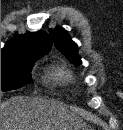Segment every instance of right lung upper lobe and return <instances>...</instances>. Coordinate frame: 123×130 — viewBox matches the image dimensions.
Wrapping results in <instances>:
<instances>
[{"instance_id":"1","label":"right lung upper lobe","mask_w":123,"mask_h":130,"mask_svg":"<svg viewBox=\"0 0 123 130\" xmlns=\"http://www.w3.org/2000/svg\"><path fill=\"white\" fill-rule=\"evenodd\" d=\"M51 44L50 36L42 30L15 35V38L7 41L2 48L1 60L5 61L24 55H44L49 52Z\"/></svg>"}]
</instances>
